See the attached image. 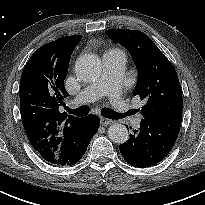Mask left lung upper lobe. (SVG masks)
I'll use <instances>...</instances> for the list:
<instances>
[{"label": "left lung upper lobe", "instance_id": "1", "mask_svg": "<svg viewBox=\"0 0 205 205\" xmlns=\"http://www.w3.org/2000/svg\"><path fill=\"white\" fill-rule=\"evenodd\" d=\"M107 35L123 45L133 57L138 69L134 95L146 104L141 109L143 119L182 116V89L172 63L143 32L113 29Z\"/></svg>", "mask_w": 205, "mask_h": 205}]
</instances>
